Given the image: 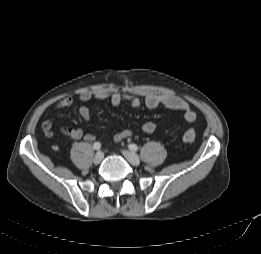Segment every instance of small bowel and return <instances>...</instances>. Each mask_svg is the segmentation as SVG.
<instances>
[{
    "label": "small bowel",
    "instance_id": "small-bowel-1",
    "mask_svg": "<svg viewBox=\"0 0 261 254\" xmlns=\"http://www.w3.org/2000/svg\"><path fill=\"white\" fill-rule=\"evenodd\" d=\"M79 99L84 103L89 102L93 99L109 100V102L113 106H119L123 101H128L132 107H139L141 104H144L147 108L150 109L164 107L170 110L181 111L186 122L188 123H192L196 119V113L193 111L188 102L180 97L169 94L147 93L145 95H129L120 92L99 91L95 94L83 92L80 94ZM72 105L73 99L71 97L62 98L55 103V107L57 109L69 108ZM78 112L83 121L88 122L90 120L91 112L86 105L80 106ZM52 127L53 123L49 120L45 121L42 124V130L45 135L53 136ZM142 130L145 133H153L156 130V124L151 121L145 122L142 125ZM60 132L64 136L74 140L83 139L87 142H93L96 140V137L93 134L84 133V131L80 128L61 127ZM132 134L133 131L131 129H123L114 135L113 141L116 143L120 142L132 136Z\"/></svg>",
    "mask_w": 261,
    "mask_h": 254
}]
</instances>
